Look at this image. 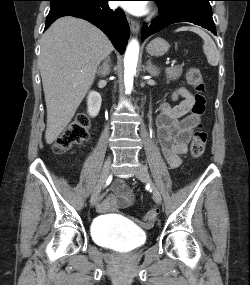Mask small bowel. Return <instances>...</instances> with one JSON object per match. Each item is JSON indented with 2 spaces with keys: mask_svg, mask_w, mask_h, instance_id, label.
<instances>
[{
  "mask_svg": "<svg viewBox=\"0 0 250 285\" xmlns=\"http://www.w3.org/2000/svg\"><path fill=\"white\" fill-rule=\"evenodd\" d=\"M175 105L163 102L157 118V136L162 154L167 163L176 168L181 164V157L188 150V143L192 137L193 127L199 118L189 114L194 96L185 88H179L172 96ZM115 195H107L98 204V211L106 212L118 206L126 207L133 201L130 189L122 181L114 185Z\"/></svg>",
  "mask_w": 250,
  "mask_h": 285,
  "instance_id": "obj_1",
  "label": "small bowel"
}]
</instances>
